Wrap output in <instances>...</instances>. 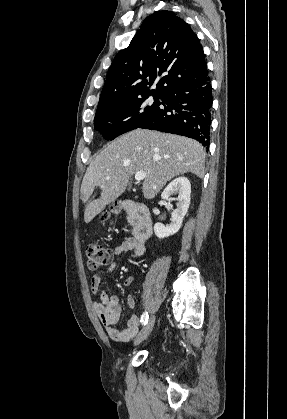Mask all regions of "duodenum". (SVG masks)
Listing matches in <instances>:
<instances>
[{
    "mask_svg": "<svg viewBox=\"0 0 287 419\" xmlns=\"http://www.w3.org/2000/svg\"><path fill=\"white\" fill-rule=\"evenodd\" d=\"M121 207L133 219V234L138 243L137 254L139 255L142 252V245L152 235V218L149 209L145 204L131 200L122 201Z\"/></svg>",
    "mask_w": 287,
    "mask_h": 419,
    "instance_id": "duodenum-1",
    "label": "duodenum"
}]
</instances>
